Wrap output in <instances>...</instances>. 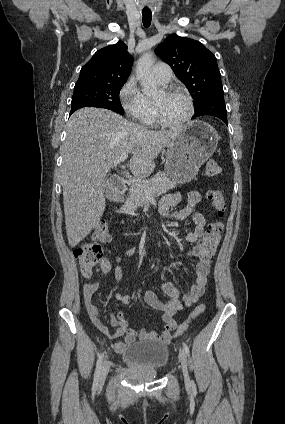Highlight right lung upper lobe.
Masks as SVG:
<instances>
[{
	"instance_id": "right-lung-upper-lobe-1",
	"label": "right lung upper lobe",
	"mask_w": 285,
	"mask_h": 424,
	"mask_svg": "<svg viewBox=\"0 0 285 424\" xmlns=\"http://www.w3.org/2000/svg\"><path fill=\"white\" fill-rule=\"evenodd\" d=\"M133 58L127 46L119 41L98 50L85 64L76 85L126 82L130 75Z\"/></svg>"
}]
</instances>
